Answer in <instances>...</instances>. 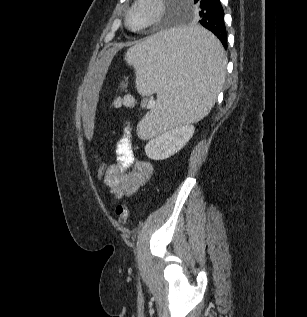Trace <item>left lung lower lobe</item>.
<instances>
[{
	"label": "left lung lower lobe",
	"instance_id": "0a47b994",
	"mask_svg": "<svg viewBox=\"0 0 307 317\" xmlns=\"http://www.w3.org/2000/svg\"><path fill=\"white\" fill-rule=\"evenodd\" d=\"M198 3L199 8V23L214 33L220 40L225 49H227V35L226 27L224 24V10L220 0H194ZM194 45V42L190 43ZM199 51L204 53V56L213 61L215 54L210 49L199 46Z\"/></svg>",
	"mask_w": 307,
	"mask_h": 317
}]
</instances>
